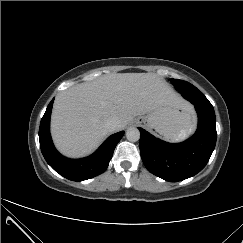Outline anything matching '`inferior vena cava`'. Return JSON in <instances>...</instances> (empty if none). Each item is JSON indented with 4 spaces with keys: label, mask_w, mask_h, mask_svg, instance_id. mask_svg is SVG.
Returning a JSON list of instances; mask_svg holds the SVG:
<instances>
[{
    "label": "inferior vena cava",
    "mask_w": 243,
    "mask_h": 243,
    "mask_svg": "<svg viewBox=\"0 0 243 243\" xmlns=\"http://www.w3.org/2000/svg\"><path fill=\"white\" fill-rule=\"evenodd\" d=\"M106 127L110 131H115L119 127V120L116 118H110L106 121Z\"/></svg>",
    "instance_id": "inferior-vena-cava-1"
}]
</instances>
